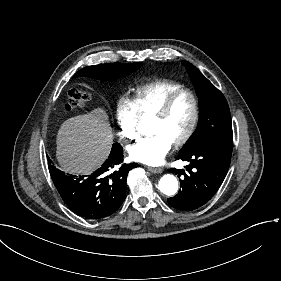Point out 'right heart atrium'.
I'll return each mask as SVG.
<instances>
[{"mask_svg": "<svg viewBox=\"0 0 281 281\" xmlns=\"http://www.w3.org/2000/svg\"><path fill=\"white\" fill-rule=\"evenodd\" d=\"M116 117L120 127V137L124 149L128 150L127 142L138 138L137 113L130 101L121 97L116 103Z\"/></svg>", "mask_w": 281, "mask_h": 281, "instance_id": "1", "label": "right heart atrium"}]
</instances>
